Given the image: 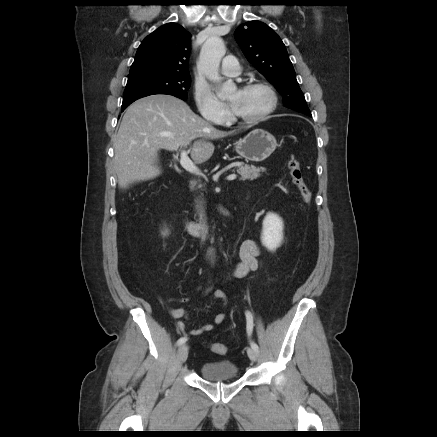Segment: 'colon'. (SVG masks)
Returning <instances> with one entry per match:
<instances>
[{
    "label": "colon",
    "mask_w": 437,
    "mask_h": 437,
    "mask_svg": "<svg viewBox=\"0 0 437 437\" xmlns=\"http://www.w3.org/2000/svg\"><path fill=\"white\" fill-rule=\"evenodd\" d=\"M287 167L292 183L297 188L302 202L308 205L311 201L312 193L304 180L299 159L295 155L290 156ZM211 350L216 354L224 355L227 352V347L222 343H213L211 344Z\"/></svg>",
    "instance_id": "obj_1"
}]
</instances>
